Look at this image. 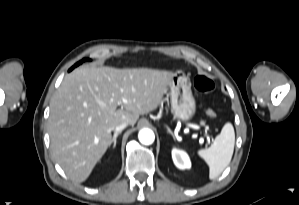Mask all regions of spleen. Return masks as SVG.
Returning a JSON list of instances; mask_svg holds the SVG:
<instances>
[{
  "label": "spleen",
  "instance_id": "1",
  "mask_svg": "<svg viewBox=\"0 0 299 205\" xmlns=\"http://www.w3.org/2000/svg\"><path fill=\"white\" fill-rule=\"evenodd\" d=\"M235 145V132L231 123H226L212 145L207 149L199 150L198 155L209 166V178H217L229 165Z\"/></svg>",
  "mask_w": 299,
  "mask_h": 205
}]
</instances>
